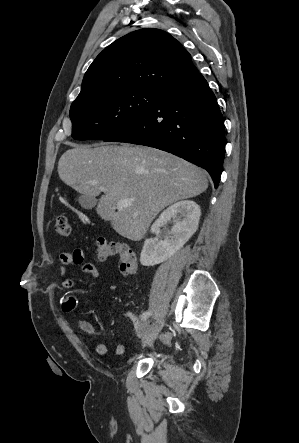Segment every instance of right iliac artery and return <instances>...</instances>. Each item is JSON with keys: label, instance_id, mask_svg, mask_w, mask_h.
Returning a JSON list of instances; mask_svg holds the SVG:
<instances>
[{"label": "right iliac artery", "instance_id": "obj_1", "mask_svg": "<svg viewBox=\"0 0 299 443\" xmlns=\"http://www.w3.org/2000/svg\"><path fill=\"white\" fill-rule=\"evenodd\" d=\"M149 316H150V312L145 311V312L141 315V320H142V321H145Z\"/></svg>", "mask_w": 299, "mask_h": 443}]
</instances>
